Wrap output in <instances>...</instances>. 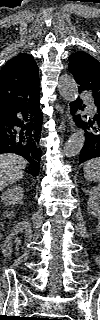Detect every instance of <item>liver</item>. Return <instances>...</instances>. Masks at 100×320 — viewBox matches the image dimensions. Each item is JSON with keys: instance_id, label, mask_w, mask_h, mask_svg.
<instances>
[{"instance_id": "liver-1", "label": "liver", "mask_w": 100, "mask_h": 320, "mask_svg": "<svg viewBox=\"0 0 100 320\" xmlns=\"http://www.w3.org/2000/svg\"><path fill=\"white\" fill-rule=\"evenodd\" d=\"M27 161L16 154L0 155V189L18 181L24 175Z\"/></svg>"}]
</instances>
